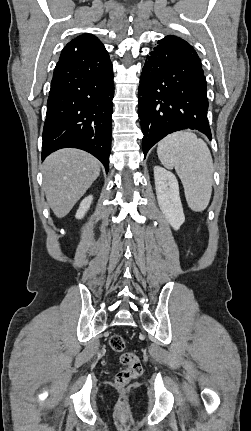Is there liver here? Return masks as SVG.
Here are the masks:
<instances>
[{
    "mask_svg": "<svg viewBox=\"0 0 251 431\" xmlns=\"http://www.w3.org/2000/svg\"><path fill=\"white\" fill-rule=\"evenodd\" d=\"M100 174V162L78 149H61L43 164V189L58 218L66 216Z\"/></svg>",
    "mask_w": 251,
    "mask_h": 431,
    "instance_id": "liver-1",
    "label": "liver"
}]
</instances>
